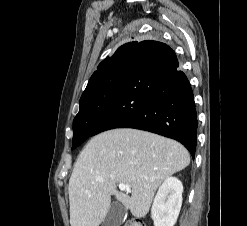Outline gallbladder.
<instances>
[{
    "instance_id": "1",
    "label": "gallbladder",
    "mask_w": 247,
    "mask_h": 226,
    "mask_svg": "<svg viewBox=\"0 0 247 226\" xmlns=\"http://www.w3.org/2000/svg\"><path fill=\"white\" fill-rule=\"evenodd\" d=\"M125 217V207L115 201L111 204L108 213L106 214L102 226H121Z\"/></svg>"
}]
</instances>
